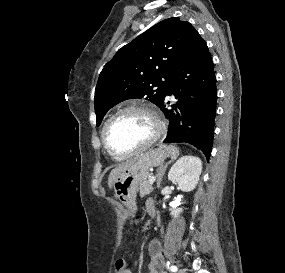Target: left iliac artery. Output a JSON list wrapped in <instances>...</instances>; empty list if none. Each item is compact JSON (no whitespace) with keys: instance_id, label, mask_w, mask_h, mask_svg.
Masks as SVG:
<instances>
[{"instance_id":"left-iliac-artery-1","label":"left iliac artery","mask_w":285,"mask_h":273,"mask_svg":"<svg viewBox=\"0 0 285 273\" xmlns=\"http://www.w3.org/2000/svg\"><path fill=\"white\" fill-rule=\"evenodd\" d=\"M170 270H171L172 272H176V271L178 270V268H177V266L172 265V266H170Z\"/></svg>"}]
</instances>
